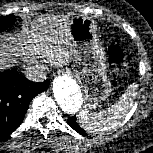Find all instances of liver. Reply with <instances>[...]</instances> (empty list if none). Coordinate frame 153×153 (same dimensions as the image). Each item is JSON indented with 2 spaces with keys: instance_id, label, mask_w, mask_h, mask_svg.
<instances>
[{
  "instance_id": "obj_1",
  "label": "liver",
  "mask_w": 153,
  "mask_h": 153,
  "mask_svg": "<svg viewBox=\"0 0 153 153\" xmlns=\"http://www.w3.org/2000/svg\"><path fill=\"white\" fill-rule=\"evenodd\" d=\"M38 21L42 22L43 19L39 18ZM38 27H33L30 31L31 34L24 35V38H28L24 42L17 43L16 38H4L7 42L3 43V39H0V70L16 63V57L21 55L32 61L36 58L49 57L50 60H57V62H54L56 65L69 63L73 55L70 21L61 19L54 24L56 29L50 26V31L47 30L48 27L46 26ZM23 45L26 46L22 47Z\"/></svg>"
}]
</instances>
